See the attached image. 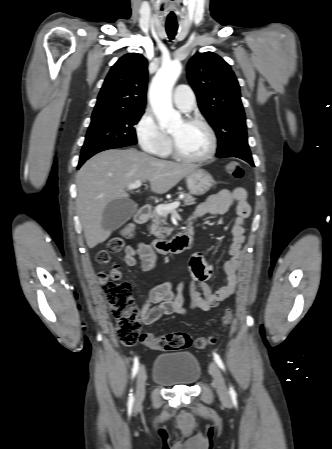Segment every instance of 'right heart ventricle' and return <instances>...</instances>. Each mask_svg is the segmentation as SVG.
Instances as JSON below:
<instances>
[{
  "instance_id": "right-heart-ventricle-1",
  "label": "right heart ventricle",
  "mask_w": 332,
  "mask_h": 449,
  "mask_svg": "<svg viewBox=\"0 0 332 449\" xmlns=\"http://www.w3.org/2000/svg\"><path fill=\"white\" fill-rule=\"evenodd\" d=\"M168 153H169V149L163 155H167Z\"/></svg>"
}]
</instances>
